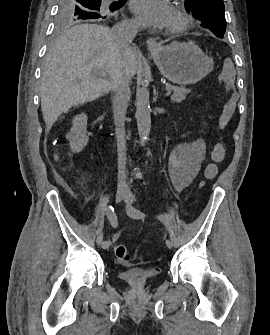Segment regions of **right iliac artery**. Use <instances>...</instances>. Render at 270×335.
<instances>
[{
    "label": "right iliac artery",
    "instance_id": "right-iliac-artery-1",
    "mask_svg": "<svg viewBox=\"0 0 270 335\" xmlns=\"http://www.w3.org/2000/svg\"><path fill=\"white\" fill-rule=\"evenodd\" d=\"M106 215L107 218L110 222V224L112 225L113 228H116L118 226V220H117V216L116 213L114 211V208L112 206H108L106 209ZM102 248L103 249H108L110 246V242L109 241H104L102 242Z\"/></svg>",
    "mask_w": 270,
    "mask_h": 335
}]
</instances>
